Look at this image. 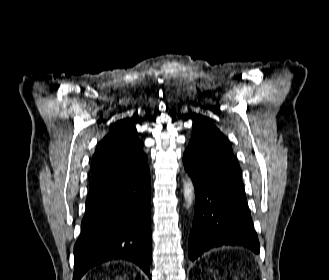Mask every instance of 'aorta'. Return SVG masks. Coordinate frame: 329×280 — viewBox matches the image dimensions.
Masks as SVG:
<instances>
[{
	"label": "aorta",
	"mask_w": 329,
	"mask_h": 280,
	"mask_svg": "<svg viewBox=\"0 0 329 280\" xmlns=\"http://www.w3.org/2000/svg\"><path fill=\"white\" fill-rule=\"evenodd\" d=\"M184 199L186 202V207H191L194 199V186L190 178L184 181Z\"/></svg>",
	"instance_id": "aorta-1"
}]
</instances>
